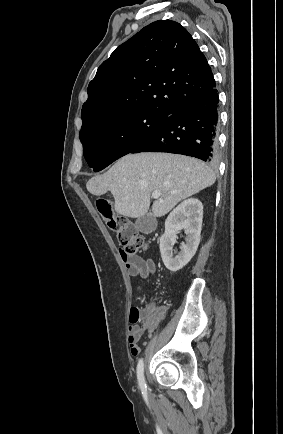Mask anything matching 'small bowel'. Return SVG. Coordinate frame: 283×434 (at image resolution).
Listing matches in <instances>:
<instances>
[{
    "instance_id": "small-bowel-1",
    "label": "small bowel",
    "mask_w": 283,
    "mask_h": 434,
    "mask_svg": "<svg viewBox=\"0 0 283 434\" xmlns=\"http://www.w3.org/2000/svg\"><path fill=\"white\" fill-rule=\"evenodd\" d=\"M121 253V258L126 265L128 273L130 276L139 277L141 279H147L150 275L156 271V262L152 258L144 259L138 255H128L123 251ZM154 310L152 306L146 308L147 312ZM144 328L153 330L154 325L145 327H140L138 325H130L128 329V342L130 344L131 354L137 355L140 351V347L137 345L139 340L143 335Z\"/></svg>"
}]
</instances>
